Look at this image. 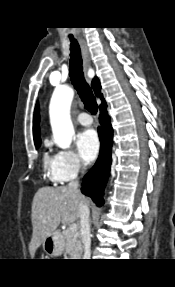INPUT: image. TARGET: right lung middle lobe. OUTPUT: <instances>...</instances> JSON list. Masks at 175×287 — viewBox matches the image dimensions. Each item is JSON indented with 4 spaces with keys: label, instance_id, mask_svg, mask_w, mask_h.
I'll return each mask as SVG.
<instances>
[{
    "label": "right lung middle lobe",
    "instance_id": "dd1d6c3e",
    "mask_svg": "<svg viewBox=\"0 0 175 287\" xmlns=\"http://www.w3.org/2000/svg\"><path fill=\"white\" fill-rule=\"evenodd\" d=\"M36 148H38L40 146V142L35 143Z\"/></svg>",
    "mask_w": 175,
    "mask_h": 287
}]
</instances>
